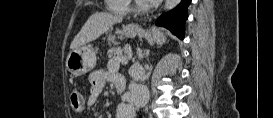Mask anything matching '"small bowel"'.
Wrapping results in <instances>:
<instances>
[{"mask_svg":"<svg viewBox=\"0 0 273 118\" xmlns=\"http://www.w3.org/2000/svg\"><path fill=\"white\" fill-rule=\"evenodd\" d=\"M116 80H124V78L118 73L117 69L113 67L107 70H99L92 73L90 75L91 88L87 99V106H95L105 85L108 82L114 83ZM133 99L134 96H131L130 98L124 100L126 105L118 110L117 118H133Z\"/></svg>","mask_w":273,"mask_h":118,"instance_id":"c3829d8e","label":"small bowel"}]
</instances>
